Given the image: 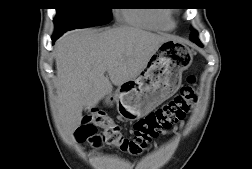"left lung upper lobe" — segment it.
<instances>
[{
    "label": "left lung upper lobe",
    "instance_id": "left-lung-upper-lobe-1",
    "mask_svg": "<svg viewBox=\"0 0 252 169\" xmlns=\"http://www.w3.org/2000/svg\"><path fill=\"white\" fill-rule=\"evenodd\" d=\"M191 31L192 32L190 34V38H193V37L197 36V32L194 29L191 28Z\"/></svg>",
    "mask_w": 252,
    "mask_h": 169
}]
</instances>
